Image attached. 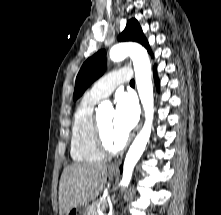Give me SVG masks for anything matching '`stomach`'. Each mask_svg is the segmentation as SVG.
<instances>
[{
    "instance_id": "obj_1",
    "label": "stomach",
    "mask_w": 221,
    "mask_h": 215,
    "mask_svg": "<svg viewBox=\"0 0 221 215\" xmlns=\"http://www.w3.org/2000/svg\"><path fill=\"white\" fill-rule=\"evenodd\" d=\"M116 174L115 171L109 170V175L114 176ZM88 205H79L77 207L69 210L66 215H87Z\"/></svg>"
}]
</instances>
